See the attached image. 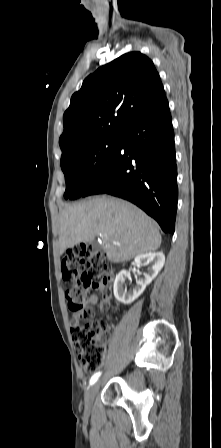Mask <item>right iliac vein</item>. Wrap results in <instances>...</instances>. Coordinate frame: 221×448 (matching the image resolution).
<instances>
[{"instance_id": "1", "label": "right iliac vein", "mask_w": 221, "mask_h": 448, "mask_svg": "<svg viewBox=\"0 0 221 448\" xmlns=\"http://www.w3.org/2000/svg\"><path fill=\"white\" fill-rule=\"evenodd\" d=\"M100 381L95 382L86 392L85 395V405L87 409H90L92 407L94 398L99 390Z\"/></svg>"}]
</instances>
